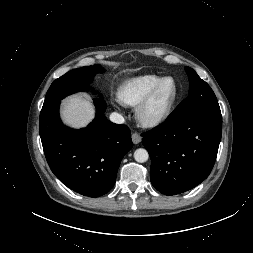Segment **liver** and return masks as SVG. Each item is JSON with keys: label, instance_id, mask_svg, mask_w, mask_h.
<instances>
[{"label": "liver", "instance_id": "6515ba94", "mask_svg": "<svg viewBox=\"0 0 253 253\" xmlns=\"http://www.w3.org/2000/svg\"><path fill=\"white\" fill-rule=\"evenodd\" d=\"M94 107L86 95H74L62 102L63 121L76 129L87 126L94 118Z\"/></svg>", "mask_w": 253, "mask_h": 253}]
</instances>
